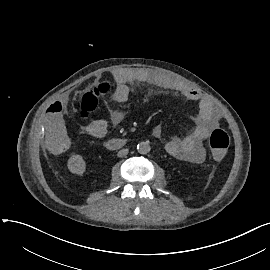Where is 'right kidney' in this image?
<instances>
[{"label":"right kidney","mask_w":270,"mask_h":270,"mask_svg":"<svg viewBox=\"0 0 270 270\" xmlns=\"http://www.w3.org/2000/svg\"><path fill=\"white\" fill-rule=\"evenodd\" d=\"M67 167L73 174L83 176L84 172L86 171V162L82 155L75 154L69 157Z\"/></svg>","instance_id":"right-kidney-1"}]
</instances>
